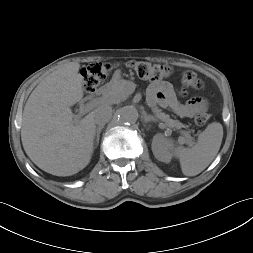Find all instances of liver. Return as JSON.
<instances>
[{"mask_svg": "<svg viewBox=\"0 0 253 253\" xmlns=\"http://www.w3.org/2000/svg\"><path fill=\"white\" fill-rule=\"evenodd\" d=\"M79 68V63L70 62L50 73L32 91L23 110V148L35 165L56 176L78 173L93 153L94 111L74 121L70 109L84 95Z\"/></svg>", "mask_w": 253, "mask_h": 253, "instance_id": "1", "label": "liver"}]
</instances>
